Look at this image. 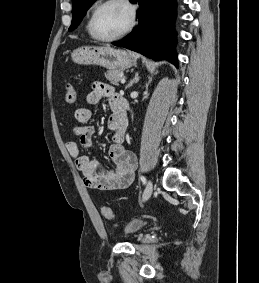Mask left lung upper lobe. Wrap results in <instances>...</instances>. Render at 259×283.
<instances>
[{
    "mask_svg": "<svg viewBox=\"0 0 259 283\" xmlns=\"http://www.w3.org/2000/svg\"><path fill=\"white\" fill-rule=\"evenodd\" d=\"M94 1L95 0H72V23L69 27V31L74 30L79 25L85 12Z\"/></svg>",
    "mask_w": 259,
    "mask_h": 283,
    "instance_id": "1",
    "label": "left lung upper lobe"
}]
</instances>
